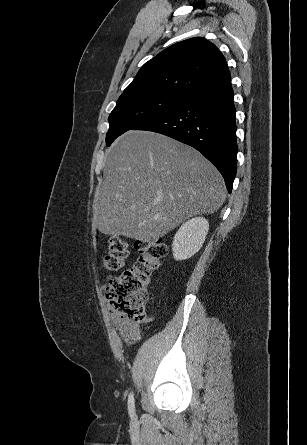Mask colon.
I'll use <instances>...</instances> for the list:
<instances>
[{"label": "colon", "mask_w": 307, "mask_h": 445, "mask_svg": "<svg viewBox=\"0 0 307 445\" xmlns=\"http://www.w3.org/2000/svg\"><path fill=\"white\" fill-rule=\"evenodd\" d=\"M135 264L112 277L106 287V298L112 308L128 322L142 323L146 319V305L149 299L148 286L153 274L162 265L167 248L163 241L140 242ZM129 254V246L120 237L109 239V252L102 258L107 271L120 270Z\"/></svg>", "instance_id": "1"}]
</instances>
